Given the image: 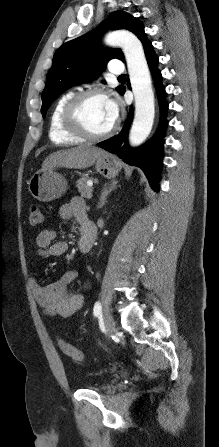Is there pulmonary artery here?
<instances>
[{"label":"pulmonary artery","mask_w":219,"mask_h":447,"mask_svg":"<svg viewBox=\"0 0 219 447\" xmlns=\"http://www.w3.org/2000/svg\"><path fill=\"white\" fill-rule=\"evenodd\" d=\"M109 71L113 75H121L124 72V66L120 60H112L109 64Z\"/></svg>","instance_id":"1"}]
</instances>
